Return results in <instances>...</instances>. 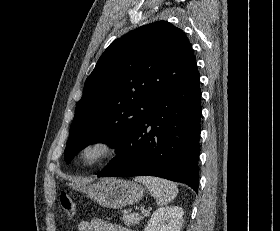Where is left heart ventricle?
<instances>
[{"label":"left heart ventricle","instance_id":"b2bd125f","mask_svg":"<svg viewBox=\"0 0 280 231\" xmlns=\"http://www.w3.org/2000/svg\"><path fill=\"white\" fill-rule=\"evenodd\" d=\"M107 146L97 143L89 146L82 154L81 163L84 166H93L99 163L107 153Z\"/></svg>","mask_w":280,"mask_h":231}]
</instances>
